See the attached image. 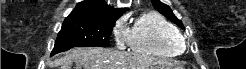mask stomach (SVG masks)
<instances>
[{
    "label": "stomach",
    "mask_w": 246,
    "mask_h": 69,
    "mask_svg": "<svg viewBox=\"0 0 246 69\" xmlns=\"http://www.w3.org/2000/svg\"><path fill=\"white\" fill-rule=\"evenodd\" d=\"M149 69H183L179 66H173L171 64H156L152 65Z\"/></svg>",
    "instance_id": "stomach-1"
}]
</instances>
